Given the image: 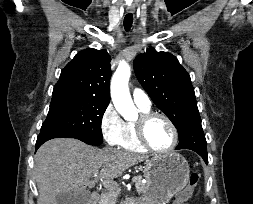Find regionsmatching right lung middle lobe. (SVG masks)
<instances>
[{
  "mask_svg": "<svg viewBox=\"0 0 253 204\" xmlns=\"http://www.w3.org/2000/svg\"><path fill=\"white\" fill-rule=\"evenodd\" d=\"M108 104L75 90L54 89L41 132H56L74 136L91 145L101 144V121Z\"/></svg>",
  "mask_w": 253,
  "mask_h": 204,
  "instance_id": "dd1d6c3e",
  "label": "right lung middle lobe"
}]
</instances>
